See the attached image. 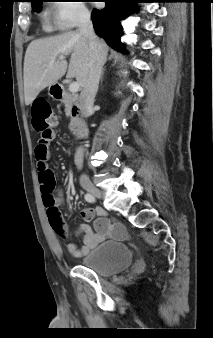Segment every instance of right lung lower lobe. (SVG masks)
Returning a JSON list of instances; mask_svg holds the SVG:
<instances>
[{
  "label": "right lung lower lobe",
  "mask_w": 213,
  "mask_h": 338,
  "mask_svg": "<svg viewBox=\"0 0 213 338\" xmlns=\"http://www.w3.org/2000/svg\"><path fill=\"white\" fill-rule=\"evenodd\" d=\"M143 0H104V9H94L92 21L95 32L103 37L112 48L126 52L121 43L122 26L120 21L136 9L135 5Z\"/></svg>",
  "instance_id": "1"
}]
</instances>
